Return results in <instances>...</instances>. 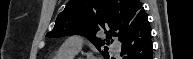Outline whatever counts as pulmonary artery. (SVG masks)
Returning a JSON list of instances; mask_svg holds the SVG:
<instances>
[{"label":"pulmonary artery","mask_w":193,"mask_h":59,"mask_svg":"<svg viewBox=\"0 0 193 59\" xmlns=\"http://www.w3.org/2000/svg\"><path fill=\"white\" fill-rule=\"evenodd\" d=\"M77 39L75 37H70L69 39H67V41L63 44L62 48L65 50H69L72 51L74 53H78L80 48H81V44L79 42L76 41ZM120 45V44H117ZM118 52V51H117Z\"/></svg>","instance_id":"pulmonary-artery-1"}]
</instances>
